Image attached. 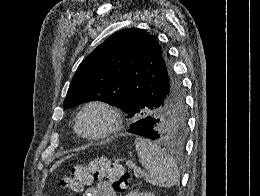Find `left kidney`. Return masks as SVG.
<instances>
[{
  "mask_svg": "<svg viewBox=\"0 0 260 196\" xmlns=\"http://www.w3.org/2000/svg\"><path fill=\"white\" fill-rule=\"evenodd\" d=\"M127 196H155V194H151V192H142V194L140 192H129Z\"/></svg>",
  "mask_w": 260,
  "mask_h": 196,
  "instance_id": "obj_1",
  "label": "left kidney"
}]
</instances>
